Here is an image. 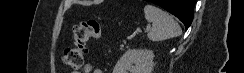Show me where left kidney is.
<instances>
[{"mask_svg": "<svg viewBox=\"0 0 244 73\" xmlns=\"http://www.w3.org/2000/svg\"><path fill=\"white\" fill-rule=\"evenodd\" d=\"M154 57L151 50L130 49L117 61L113 73H151Z\"/></svg>", "mask_w": 244, "mask_h": 73, "instance_id": "5707ae66", "label": "left kidney"}]
</instances>
